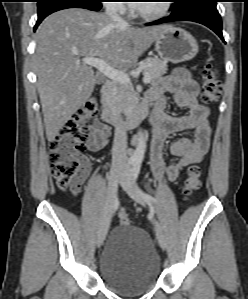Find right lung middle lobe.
<instances>
[{
	"label": "right lung middle lobe",
	"mask_w": 248,
	"mask_h": 299,
	"mask_svg": "<svg viewBox=\"0 0 248 299\" xmlns=\"http://www.w3.org/2000/svg\"><path fill=\"white\" fill-rule=\"evenodd\" d=\"M52 0H38V7L48 3V2H51ZM83 1H86V2H90V3H93V4H98L101 0H83Z\"/></svg>",
	"instance_id": "1"
}]
</instances>
